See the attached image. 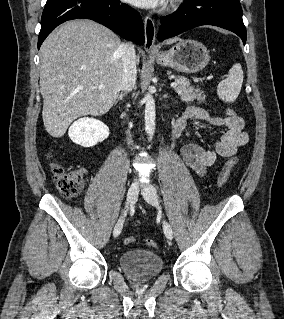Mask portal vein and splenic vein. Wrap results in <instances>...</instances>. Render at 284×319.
Returning a JSON list of instances; mask_svg holds the SVG:
<instances>
[{"instance_id": "obj_1", "label": "portal vein and splenic vein", "mask_w": 284, "mask_h": 319, "mask_svg": "<svg viewBox=\"0 0 284 319\" xmlns=\"http://www.w3.org/2000/svg\"><path fill=\"white\" fill-rule=\"evenodd\" d=\"M178 86L177 82H172L171 83V87L172 88H176ZM104 88V85H99V89H103Z\"/></svg>"}]
</instances>
